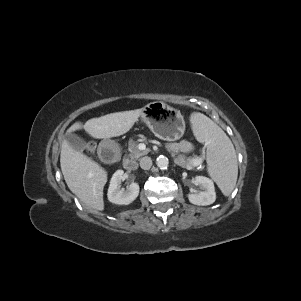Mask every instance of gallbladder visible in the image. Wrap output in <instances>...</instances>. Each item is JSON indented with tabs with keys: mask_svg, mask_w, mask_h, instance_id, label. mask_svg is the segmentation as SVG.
Masks as SVG:
<instances>
[{
	"mask_svg": "<svg viewBox=\"0 0 301 301\" xmlns=\"http://www.w3.org/2000/svg\"><path fill=\"white\" fill-rule=\"evenodd\" d=\"M63 139L66 140L69 145L78 152H83L86 148L85 142L76 134L67 133L63 136Z\"/></svg>",
	"mask_w": 301,
	"mask_h": 301,
	"instance_id": "1",
	"label": "gallbladder"
}]
</instances>
